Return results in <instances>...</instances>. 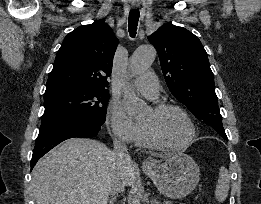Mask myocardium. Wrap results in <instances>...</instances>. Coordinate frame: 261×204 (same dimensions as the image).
Here are the masks:
<instances>
[{"label":"myocardium","instance_id":"f54148a6","mask_svg":"<svg viewBox=\"0 0 261 204\" xmlns=\"http://www.w3.org/2000/svg\"><path fill=\"white\" fill-rule=\"evenodd\" d=\"M150 109L155 117L159 116L160 114H162L163 112L168 111V110L178 111L186 119V121L188 122V125L190 127V135L184 143H182L180 145H170V144L165 143L159 137V135L157 134L156 130L154 129V127L152 125L141 122V125L143 127V130H144L148 140L154 147L161 149V150H167V151H180V150L186 149L187 147H189L191 145V143L194 141V139L196 137V127H195L192 117L182 106L175 104V103H157V104L152 105L150 107Z\"/></svg>","mask_w":261,"mask_h":204}]
</instances>
